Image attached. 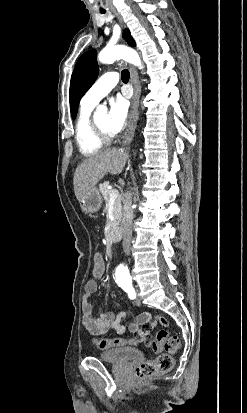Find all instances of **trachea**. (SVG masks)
I'll return each instance as SVG.
<instances>
[{
  "label": "trachea",
  "instance_id": "3493384b",
  "mask_svg": "<svg viewBox=\"0 0 247 413\" xmlns=\"http://www.w3.org/2000/svg\"><path fill=\"white\" fill-rule=\"evenodd\" d=\"M101 13H105V11H101ZM121 78H122V81H123L124 83H127L128 80H129V78H130L129 71H128V70H123V71L121 72Z\"/></svg>",
  "mask_w": 247,
  "mask_h": 413
}]
</instances>
